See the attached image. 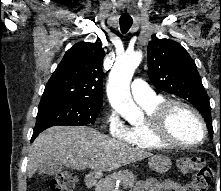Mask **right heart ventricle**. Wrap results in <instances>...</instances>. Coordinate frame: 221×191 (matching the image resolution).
<instances>
[{
	"label": "right heart ventricle",
	"instance_id": "right-heart-ventricle-1",
	"mask_svg": "<svg viewBox=\"0 0 221 191\" xmlns=\"http://www.w3.org/2000/svg\"><path fill=\"white\" fill-rule=\"evenodd\" d=\"M164 101L162 97H156L148 103H140L147 113V119L137 125L129 128L128 138L125 140L128 144L143 150H152L161 146L152 136L151 124L149 118L152 116L154 109Z\"/></svg>",
	"mask_w": 221,
	"mask_h": 191
}]
</instances>
